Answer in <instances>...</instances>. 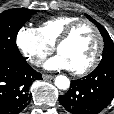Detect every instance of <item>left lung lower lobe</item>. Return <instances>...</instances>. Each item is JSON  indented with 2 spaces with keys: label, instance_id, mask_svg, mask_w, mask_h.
Returning <instances> with one entry per match:
<instances>
[{
  "label": "left lung lower lobe",
  "instance_id": "obj_1",
  "mask_svg": "<svg viewBox=\"0 0 114 114\" xmlns=\"http://www.w3.org/2000/svg\"><path fill=\"white\" fill-rule=\"evenodd\" d=\"M114 96V64L99 65L91 74L71 82L59 102L72 114H98Z\"/></svg>",
  "mask_w": 114,
  "mask_h": 114
}]
</instances>
